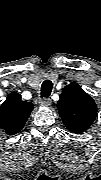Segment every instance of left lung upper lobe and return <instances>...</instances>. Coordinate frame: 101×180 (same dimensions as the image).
<instances>
[{
    "label": "left lung upper lobe",
    "mask_w": 101,
    "mask_h": 180,
    "mask_svg": "<svg viewBox=\"0 0 101 180\" xmlns=\"http://www.w3.org/2000/svg\"><path fill=\"white\" fill-rule=\"evenodd\" d=\"M57 107L63 123L73 133L86 131L97 115L95 101L75 82L65 86Z\"/></svg>",
    "instance_id": "obj_1"
}]
</instances>
